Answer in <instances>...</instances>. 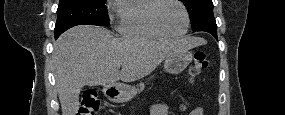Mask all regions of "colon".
<instances>
[{
  "label": "colon",
  "mask_w": 285,
  "mask_h": 115,
  "mask_svg": "<svg viewBox=\"0 0 285 115\" xmlns=\"http://www.w3.org/2000/svg\"><path fill=\"white\" fill-rule=\"evenodd\" d=\"M208 66L206 54L198 51L194 54L192 64L189 68L191 80L199 77ZM100 107L99 100L93 90H87L82 95L81 107L78 111L79 115H94Z\"/></svg>",
  "instance_id": "colon-1"
}]
</instances>
